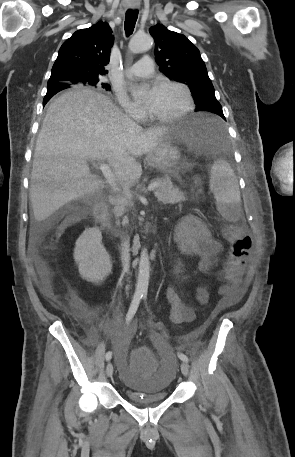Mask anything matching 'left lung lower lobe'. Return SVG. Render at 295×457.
<instances>
[{
    "mask_svg": "<svg viewBox=\"0 0 295 457\" xmlns=\"http://www.w3.org/2000/svg\"><path fill=\"white\" fill-rule=\"evenodd\" d=\"M207 111L215 113V114L221 116L225 120V117L223 115V111H221L220 108H209ZM206 129L208 130L209 133L213 134L214 127L212 125L206 124Z\"/></svg>",
    "mask_w": 295,
    "mask_h": 457,
    "instance_id": "obj_1",
    "label": "left lung lower lobe"
}]
</instances>
